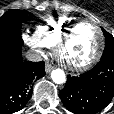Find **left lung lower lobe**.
I'll list each match as a JSON object with an SVG mask.
<instances>
[{
  "instance_id": "left-lung-lower-lobe-1",
  "label": "left lung lower lobe",
  "mask_w": 114,
  "mask_h": 114,
  "mask_svg": "<svg viewBox=\"0 0 114 114\" xmlns=\"http://www.w3.org/2000/svg\"><path fill=\"white\" fill-rule=\"evenodd\" d=\"M114 96V59H101L90 71L67 78L59 97L74 114H95L105 108Z\"/></svg>"
}]
</instances>
